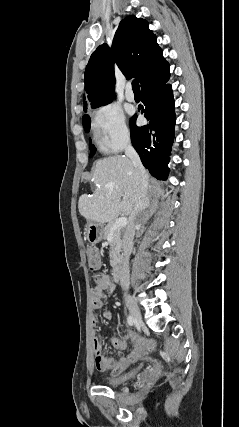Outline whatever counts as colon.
<instances>
[{
    "mask_svg": "<svg viewBox=\"0 0 239 427\" xmlns=\"http://www.w3.org/2000/svg\"><path fill=\"white\" fill-rule=\"evenodd\" d=\"M87 264L90 270L97 272L102 266L99 250L95 246H88L86 249Z\"/></svg>",
    "mask_w": 239,
    "mask_h": 427,
    "instance_id": "obj_1",
    "label": "colon"
}]
</instances>
